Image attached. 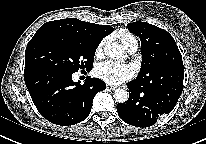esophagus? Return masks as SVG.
I'll list each match as a JSON object with an SVG mask.
<instances>
[{
    "mask_svg": "<svg viewBox=\"0 0 206 144\" xmlns=\"http://www.w3.org/2000/svg\"><path fill=\"white\" fill-rule=\"evenodd\" d=\"M107 88H108L109 90H115V89H116V87H115V86H112V85H107Z\"/></svg>",
    "mask_w": 206,
    "mask_h": 144,
    "instance_id": "obj_1",
    "label": "esophagus"
}]
</instances>
